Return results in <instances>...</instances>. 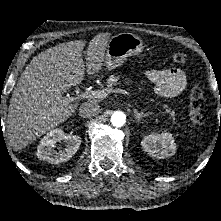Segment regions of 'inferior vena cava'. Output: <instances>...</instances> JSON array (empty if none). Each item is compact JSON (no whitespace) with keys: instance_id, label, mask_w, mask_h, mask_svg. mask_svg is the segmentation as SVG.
Masks as SVG:
<instances>
[{"instance_id":"inferior-vena-cava-1","label":"inferior vena cava","mask_w":221,"mask_h":221,"mask_svg":"<svg viewBox=\"0 0 221 221\" xmlns=\"http://www.w3.org/2000/svg\"><path fill=\"white\" fill-rule=\"evenodd\" d=\"M100 106L94 101L85 102L79 108L80 116L90 118L99 112Z\"/></svg>"}]
</instances>
